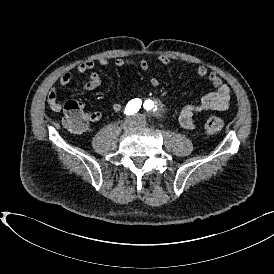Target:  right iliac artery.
<instances>
[{"instance_id": "82829eb1", "label": "right iliac artery", "mask_w": 274, "mask_h": 274, "mask_svg": "<svg viewBox=\"0 0 274 274\" xmlns=\"http://www.w3.org/2000/svg\"><path fill=\"white\" fill-rule=\"evenodd\" d=\"M141 100L138 98H135L133 100H131L125 108V114L126 115H133L135 113H137L139 111V109L141 108Z\"/></svg>"}]
</instances>
